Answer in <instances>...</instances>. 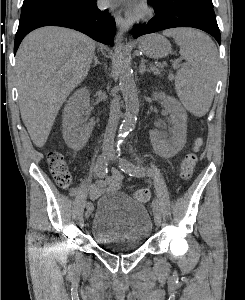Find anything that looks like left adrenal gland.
Segmentation results:
<instances>
[{"mask_svg":"<svg viewBox=\"0 0 245 300\" xmlns=\"http://www.w3.org/2000/svg\"><path fill=\"white\" fill-rule=\"evenodd\" d=\"M145 72H150V69L146 68L145 60H141L140 67H139V73H140V75H143Z\"/></svg>","mask_w":245,"mask_h":300,"instance_id":"obj_1","label":"left adrenal gland"}]
</instances>
